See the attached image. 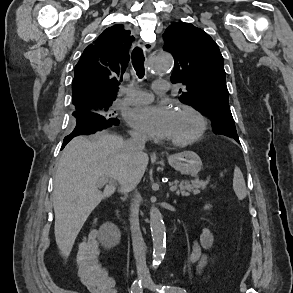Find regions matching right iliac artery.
Wrapping results in <instances>:
<instances>
[{"mask_svg": "<svg viewBox=\"0 0 293 293\" xmlns=\"http://www.w3.org/2000/svg\"><path fill=\"white\" fill-rule=\"evenodd\" d=\"M131 293H143L141 280L137 279L133 282L131 286Z\"/></svg>", "mask_w": 293, "mask_h": 293, "instance_id": "obj_1", "label": "right iliac artery"}]
</instances>
